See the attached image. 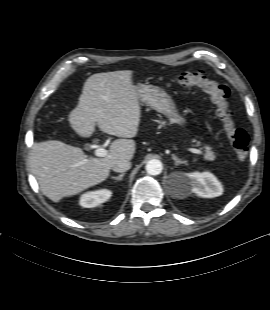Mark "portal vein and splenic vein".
I'll use <instances>...</instances> for the list:
<instances>
[{
	"label": "portal vein and splenic vein",
	"mask_w": 270,
	"mask_h": 310,
	"mask_svg": "<svg viewBox=\"0 0 270 310\" xmlns=\"http://www.w3.org/2000/svg\"><path fill=\"white\" fill-rule=\"evenodd\" d=\"M189 151L194 153V154H203V152L199 149H195V148H189ZM95 156L97 157H105L107 155V150L104 149L102 146H97L95 151H94Z\"/></svg>",
	"instance_id": "1"
}]
</instances>
